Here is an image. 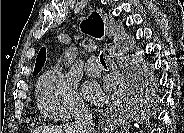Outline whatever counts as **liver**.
Here are the masks:
<instances>
[{"mask_svg": "<svg viewBox=\"0 0 184 133\" xmlns=\"http://www.w3.org/2000/svg\"><path fill=\"white\" fill-rule=\"evenodd\" d=\"M34 133H76L74 127H40L34 130Z\"/></svg>", "mask_w": 184, "mask_h": 133, "instance_id": "1", "label": "liver"}]
</instances>
